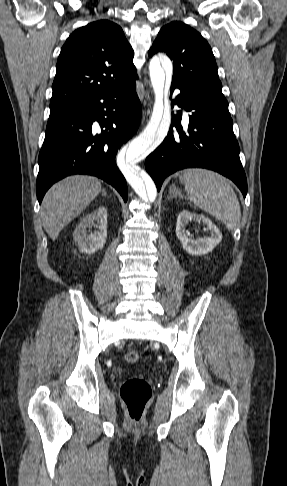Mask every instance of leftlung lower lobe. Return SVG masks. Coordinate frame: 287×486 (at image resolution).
<instances>
[{"label": "left lung lower lobe", "mask_w": 287, "mask_h": 486, "mask_svg": "<svg viewBox=\"0 0 287 486\" xmlns=\"http://www.w3.org/2000/svg\"><path fill=\"white\" fill-rule=\"evenodd\" d=\"M180 89L175 103L191 112L188 130L180 124L182 112L172 115L168 136L145 161L158 191L164 179L184 168H207L231 179L247 194V180L239 158L231 116L211 107L187 85L172 82L171 92ZM176 127V130H173Z\"/></svg>", "instance_id": "obj_1"}]
</instances>
